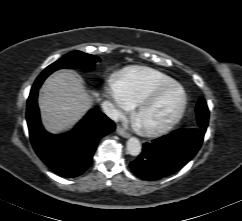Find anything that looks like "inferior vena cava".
Segmentation results:
<instances>
[{
  "label": "inferior vena cava",
  "instance_id": "obj_1",
  "mask_svg": "<svg viewBox=\"0 0 242 221\" xmlns=\"http://www.w3.org/2000/svg\"><path fill=\"white\" fill-rule=\"evenodd\" d=\"M103 112L112 120L119 119V112L110 101H104L102 104Z\"/></svg>",
  "mask_w": 242,
  "mask_h": 221
}]
</instances>
